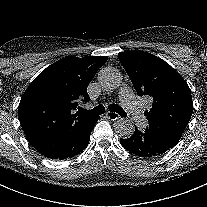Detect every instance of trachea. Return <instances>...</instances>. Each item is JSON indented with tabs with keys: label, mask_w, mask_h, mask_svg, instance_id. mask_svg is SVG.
Masks as SVG:
<instances>
[{
	"label": "trachea",
	"mask_w": 207,
	"mask_h": 207,
	"mask_svg": "<svg viewBox=\"0 0 207 207\" xmlns=\"http://www.w3.org/2000/svg\"><path fill=\"white\" fill-rule=\"evenodd\" d=\"M109 109L113 112L118 113L119 115L123 117L128 116L127 113L116 104L110 105ZM104 112H105V108L102 105H99L91 110H84V109L80 110L81 114H87V115H100V114H103Z\"/></svg>",
	"instance_id": "1"
}]
</instances>
